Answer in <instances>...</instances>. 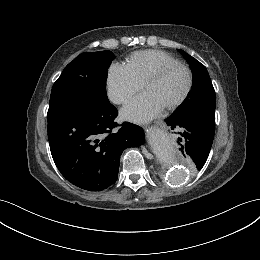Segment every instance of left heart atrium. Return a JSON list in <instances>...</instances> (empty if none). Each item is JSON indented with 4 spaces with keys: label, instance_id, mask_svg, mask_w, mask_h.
<instances>
[{
    "label": "left heart atrium",
    "instance_id": "39dd6f15",
    "mask_svg": "<svg viewBox=\"0 0 260 260\" xmlns=\"http://www.w3.org/2000/svg\"><path fill=\"white\" fill-rule=\"evenodd\" d=\"M162 109L160 103L151 94L145 92L122 110V116L131 121L142 122L157 116Z\"/></svg>",
    "mask_w": 260,
    "mask_h": 260
}]
</instances>
